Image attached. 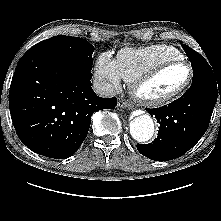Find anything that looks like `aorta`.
I'll return each mask as SVG.
<instances>
[{"label":"aorta","mask_w":221,"mask_h":221,"mask_svg":"<svg viewBox=\"0 0 221 221\" xmlns=\"http://www.w3.org/2000/svg\"><path fill=\"white\" fill-rule=\"evenodd\" d=\"M130 134L138 142H146L153 137L154 122L149 114L135 117L129 123Z\"/></svg>","instance_id":"aorta-1"}]
</instances>
